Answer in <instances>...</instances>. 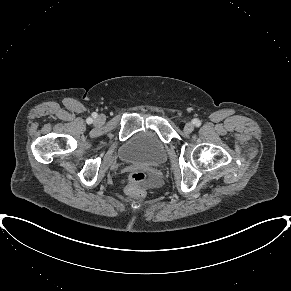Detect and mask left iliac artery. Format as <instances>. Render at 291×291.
<instances>
[{
    "label": "left iliac artery",
    "instance_id": "obj_1",
    "mask_svg": "<svg viewBox=\"0 0 291 291\" xmlns=\"http://www.w3.org/2000/svg\"><path fill=\"white\" fill-rule=\"evenodd\" d=\"M193 123L195 124L196 127H199L201 125V121L198 119H194Z\"/></svg>",
    "mask_w": 291,
    "mask_h": 291
}]
</instances>
